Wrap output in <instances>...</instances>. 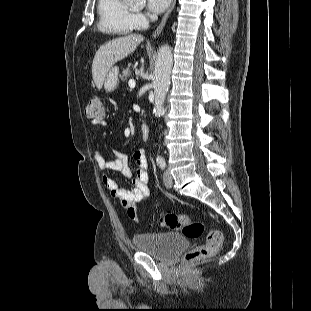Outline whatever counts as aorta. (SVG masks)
I'll return each instance as SVG.
<instances>
[{"instance_id":"1","label":"aorta","mask_w":311,"mask_h":311,"mask_svg":"<svg viewBox=\"0 0 311 311\" xmlns=\"http://www.w3.org/2000/svg\"><path fill=\"white\" fill-rule=\"evenodd\" d=\"M142 4L145 0H127ZM173 66L172 50L168 45H162L157 53L155 62V80H154V95L155 104L153 114L160 117L164 114V100L170 85V75Z\"/></svg>"}]
</instances>
